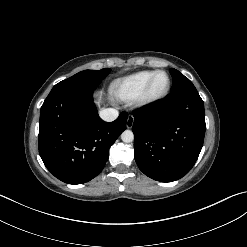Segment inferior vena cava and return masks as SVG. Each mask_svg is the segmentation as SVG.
Returning <instances> with one entry per match:
<instances>
[{
  "instance_id": "1",
  "label": "inferior vena cava",
  "mask_w": 247,
  "mask_h": 247,
  "mask_svg": "<svg viewBox=\"0 0 247 247\" xmlns=\"http://www.w3.org/2000/svg\"><path fill=\"white\" fill-rule=\"evenodd\" d=\"M100 118L106 122H112L117 119L119 112L113 108L103 109L99 113Z\"/></svg>"
}]
</instances>
